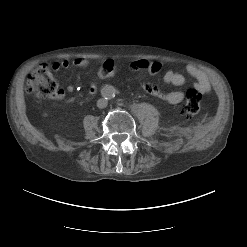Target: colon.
I'll use <instances>...</instances> for the list:
<instances>
[{
	"label": "colon",
	"instance_id": "obj_1",
	"mask_svg": "<svg viewBox=\"0 0 247 247\" xmlns=\"http://www.w3.org/2000/svg\"><path fill=\"white\" fill-rule=\"evenodd\" d=\"M118 68L112 61L103 62L98 74L107 77L115 74ZM27 91L29 94L43 100H52L60 95L58 85L53 75L46 65L38 66L29 76L27 82ZM201 93L197 89H189L186 92L185 100L180 107V113L184 117H192L200 110Z\"/></svg>",
	"mask_w": 247,
	"mask_h": 247
}]
</instances>
